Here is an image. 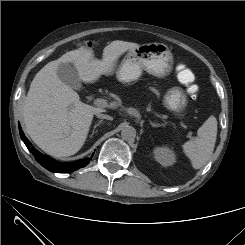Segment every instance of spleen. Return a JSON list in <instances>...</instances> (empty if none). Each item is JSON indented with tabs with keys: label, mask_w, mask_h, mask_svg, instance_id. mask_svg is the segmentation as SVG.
<instances>
[{
	"label": "spleen",
	"mask_w": 245,
	"mask_h": 245,
	"mask_svg": "<svg viewBox=\"0 0 245 245\" xmlns=\"http://www.w3.org/2000/svg\"><path fill=\"white\" fill-rule=\"evenodd\" d=\"M217 137V119L210 116L198 129L197 136L183 144L182 148L194 169L203 167L214 151Z\"/></svg>",
	"instance_id": "obj_1"
}]
</instances>
